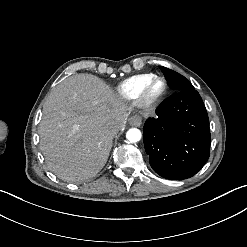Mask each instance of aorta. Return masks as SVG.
<instances>
[{"label": "aorta", "mask_w": 247, "mask_h": 247, "mask_svg": "<svg viewBox=\"0 0 247 247\" xmlns=\"http://www.w3.org/2000/svg\"><path fill=\"white\" fill-rule=\"evenodd\" d=\"M142 137V134L139 129L137 128H132L129 129L126 133V138L130 143H136L138 142Z\"/></svg>", "instance_id": "762f6f07"}]
</instances>
